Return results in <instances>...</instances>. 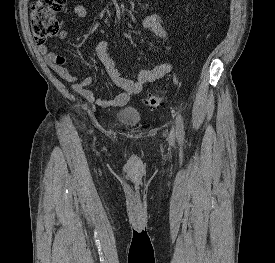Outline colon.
Here are the masks:
<instances>
[{"label":"colon","mask_w":275,"mask_h":263,"mask_svg":"<svg viewBox=\"0 0 275 263\" xmlns=\"http://www.w3.org/2000/svg\"><path fill=\"white\" fill-rule=\"evenodd\" d=\"M66 1L34 0L31 7V31L37 44H44L59 32L57 14L63 9ZM142 101L149 108H158L165 104V98L161 94H147Z\"/></svg>","instance_id":"colon-1"}]
</instances>
